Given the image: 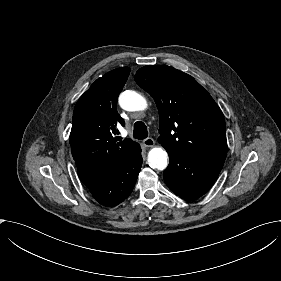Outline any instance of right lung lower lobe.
<instances>
[{
	"label": "right lung lower lobe",
	"instance_id": "1",
	"mask_svg": "<svg viewBox=\"0 0 281 281\" xmlns=\"http://www.w3.org/2000/svg\"><path fill=\"white\" fill-rule=\"evenodd\" d=\"M141 166V149L138 146L112 176L89 191L100 204L107 207L116 206L131 194Z\"/></svg>",
	"mask_w": 281,
	"mask_h": 281
}]
</instances>
